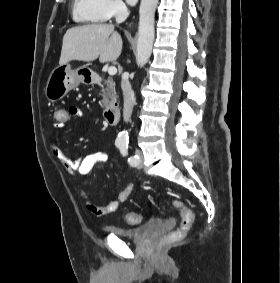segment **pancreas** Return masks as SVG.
Segmentation results:
<instances>
[{"instance_id": "obj_1", "label": "pancreas", "mask_w": 280, "mask_h": 283, "mask_svg": "<svg viewBox=\"0 0 280 283\" xmlns=\"http://www.w3.org/2000/svg\"><path fill=\"white\" fill-rule=\"evenodd\" d=\"M104 85L102 86V108L106 109L116 102V92H115V83L111 78L105 80Z\"/></svg>"}]
</instances>
